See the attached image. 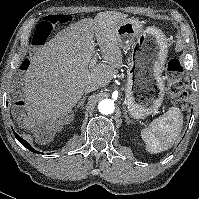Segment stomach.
<instances>
[{
    "instance_id": "1",
    "label": "stomach",
    "mask_w": 199,
    "mask_h": 199,
    "mask_svg": "<svg viewBox=\"0 0 199 199\" xmlns=\"http://www.w3.org/2000/svg\"><path fill=\"white\" fill-rule=\"evenodd\" d=\"M116 36L122 49L131 50L125 97L129 114L140 119L157 112L163 103L167 39L154 26L143 30L140 21L134 18L120 21Z\"/></svg>"
}]
</instances>
